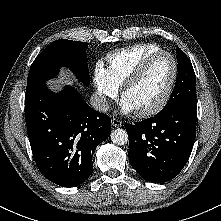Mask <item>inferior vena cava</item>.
I'll list each match as a JSON object with an SVG mask.
<instances>
[{
    "label": "inferior vena cava",
    "instance_id": "inferior-vena-cava-1",
    "mask_svg": "<svg viewBox=\"0 0 221 221\" xmlns=\"http://www.w3.org/2000/svg\"><path fill=\"white\" fill-rule=\"evenodd\" d=\"M91 106L101 112H107L109 110V105L106 97L99 93H95L90 98Z\"/></svg>",
    "mask_w": 221,
    "mask_h": 221
}]
</instances>
